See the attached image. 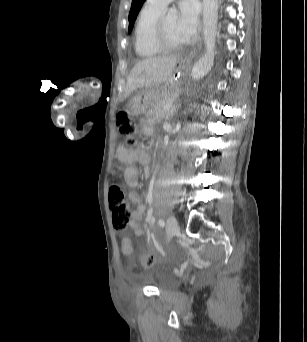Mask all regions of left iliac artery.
<instances>
[{"instance_id":"left-iliac-artery-1","label":"left iliac artery","mask_w":307,"mask_h":342,"mask_svg":"<svg viewBox=\"0 0 307 342\" xmlns=\"http://www.w3.org/2000/svg\"><path fill=\"white\" fill-rule=\"evenodd\" d=\"M150 196L152 197V194H151ZM150 216H152V211H151V213H150ZM158 224H159L161 227H164L165 222H164L163 219H159V220H158Z\"/></svg>"}]
</instances>
